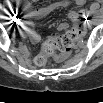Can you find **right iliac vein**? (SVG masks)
<instances>
[{
    "label": "right iliac vein",
    "mask_w": 103,
    "mask_h": 103,
    "mask_svg": "<svg viewBox=\"0 0 103 103\" xmlns=\"http://www.w3.org/2000/svg\"><path fill=\"white\" fill-rule=\"evenodd\" d=\"M10 21H11V22H14V21H15V17H11V18H10Z\"/></svg>",
    "instance_id": "obj_1"
}]
</instances>
